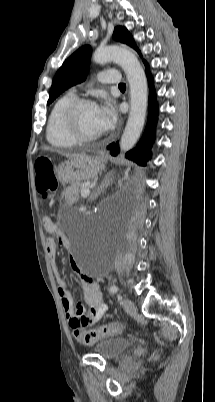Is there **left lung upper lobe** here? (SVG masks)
<instances>
[{
	"label": "left lung upper lobe",
	"instance_id": "5c2ea615",
	"mask_svg": "<svg viewBox=\"0 0 215 402\" xmlns=\"http://www.w3.org/2000/svg\"><path fill=\"white\" fill-rule=\"evenodd\" d=\"M113 38L132 47L139 53V55H141L132 35L125 27H116L114 29ZM90 57L91 47L89 45H84L63 63L53 79L48 104L52 103L55 98L69 87L81 83L86 79L89 70Z\"/></svg>",
	"mask_w": 215,
	"mask_h": 402
}]
</instances>
